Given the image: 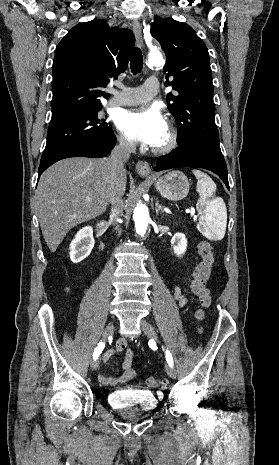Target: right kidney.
<instances>
[{
  "label": "right kidney",
  "mask_w": 279,
  "mask_h": 465,
  "mask_svg": "<svg viewBox=\"0 0 279 465\" xmlns=\"http://www.w3.org/2000/svg\"><path fill=\"white\" fill-rule=\"evenodd\" d=\"M93 228L85 226L80 229L70 244V259L79 263L89 256L94 247Z\"/></svg>",
  "instance_id": "right-kidney-1"
}]
</instances>
